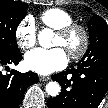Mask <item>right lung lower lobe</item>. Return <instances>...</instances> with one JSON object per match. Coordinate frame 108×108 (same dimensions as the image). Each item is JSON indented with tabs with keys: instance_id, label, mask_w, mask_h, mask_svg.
Masks as SVG:
<instances>
[{
	"instance_id": "obj_1",
	"label": "right lung lower lobe",
	"mask_w": 108,
	"mask_h": 108,
	"mask_svg": "<svg viewBox=\"0 0 108 108\" xmlns=\"http://www.w3.org/2000/svg\"><path fill=\"white\" fill-rule=\"evenodd\" d=\"M22 59L19 51L6 53L0 50V108H17L23 100L28 86L38 82V75L33 72L19 73L12 71L4 75L2 68L8 64H18Z\"/></svg>"
}]
</instances>
